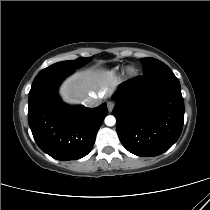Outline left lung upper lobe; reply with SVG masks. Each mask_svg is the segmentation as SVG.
Returning <instances> with one entry per match:
<instances>
[{
	"mask_svg": "<svg viewBox=\"0 0 210 210\" xmlns=\"http://www.w3.org/2000/svg\"><path fill=\"white\" fill-rule=\"evenodd\" d=\"M143 63V72L147 73L153 69L165 65L163 62L155 58H143L140 60Z\"/></svg>",
	"mask_w": 210,
	"mask_h": 210,
	"instance_id": "obj_1",
	"label": "left lung upper lobe"
}]
</instances>
